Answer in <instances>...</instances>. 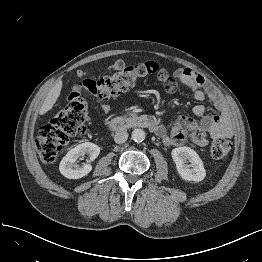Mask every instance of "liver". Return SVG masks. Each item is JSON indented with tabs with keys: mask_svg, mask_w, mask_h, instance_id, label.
Segmentation results:
<instances>
[{
	"mask_svg": "<svg viewBox=\"0 0 262 262\" xmlns=\"http://www.w3.org/2000/svg\"><path fill=\"white\" fill-rule=\"evenodd\" d=\"M62 80L59 78L58 81L54 84V86L48 92L42 107L39 111L40 115L46 114L49 110L52 109L58 97L60 96V92L62 89Z\"/></svg>",
	"mask_w": 262,
	"mask_h": 262,
	"instance_id": "liver-1",
	"label": "liver"
}]
</instances>
